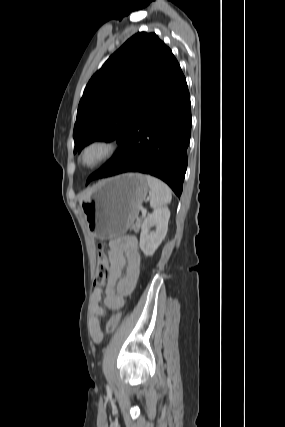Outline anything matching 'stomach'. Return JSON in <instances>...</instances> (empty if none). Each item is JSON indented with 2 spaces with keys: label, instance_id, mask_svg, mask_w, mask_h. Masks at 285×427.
I'll return each mask as SVG.
<instances>
[{
  "label": "stomach",
  "instance_id": "stomach-1",
  "mask_svg": "<svg viewBox=\"0 0 285 427\" xmlns=\"http://www.w3.org/2000/svg\"><path fill=\"white\" fill-rule=\"evenodd\" d=\"M146 177L127 173L102 180L80 209L89 230L99 239H111L125 233L138 216L148 193Z\"/></svg>",
  "mask_w": 285,
  "mask_h": 427
}]
</instances>
